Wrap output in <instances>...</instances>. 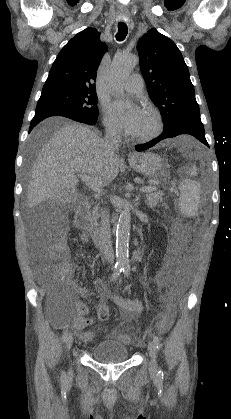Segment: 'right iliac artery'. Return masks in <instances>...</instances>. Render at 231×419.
I'll list each match as a JSON object with an SVG mask.
<instances>
[{"label": "right iliac artery", "mask_w": 231, "mask_h": 419, "mask_svg": "<svg viewBox=\"0 0 231 419\" xmlns=\"http://www.w3.org/2000/svg\"><path fill=\"white\" fill-rule=\"evenodd\" d=\"M122 270H123V266L122 265H120V264H116L115 265V269H114V271H113V274H112V276H111V278H110V282H112V281H114V280H116L117 278H118V276L120 275V273L122 272ZM67 336H68V332H67V330L63 333V336H62V340H63V342H65L66 340H67ZM63 377H64V374H63Z\"/></svg>", "instance_id": "1"}]
</instances>
